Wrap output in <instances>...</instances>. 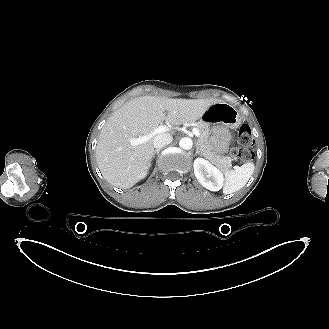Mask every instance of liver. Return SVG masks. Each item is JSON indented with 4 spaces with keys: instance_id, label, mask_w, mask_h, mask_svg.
Instances as JSON below:
<instances>
[{
    "instance_id": "6515ba94",
    "label": "liver",
    "mask_w": 329,
    "mask_h": 329,
    "mask_svg": "<svg viewBox=\"0 0 329 329\" xmlns=\"http://www.w3.org/2000/svg\"><path fill=\"white\" fill-rule=\"evenodd\" d=\"M218 102L221 101L214 98L155 96L137 97L126 102L108 118L98 138L96 161L105 180L122 189L134 186L151 162L154 147L152 138L136 146L129 140L148 134L164 120L177 126L195 122Z\"/></svg>"
}]
</instances>
